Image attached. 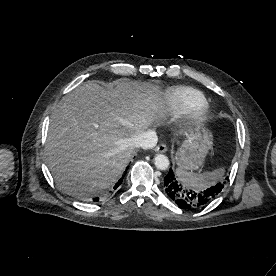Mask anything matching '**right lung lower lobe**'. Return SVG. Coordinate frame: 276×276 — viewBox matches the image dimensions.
I'll return each instance as SVG.
<instances>
[{"instance_id": "98d812e1", "label": "right lung lower lobe", "mask_w": 276, "mask_h": 276, "mask_svg": "<svg viewBox=\"0 0 276 276\" xmlns=\"http://www.w3.org/2000/svg\"><path fill=\"white\" fill-rule=\"evenodd\" d=\"M121 182H122V180L120 179V180L116 183V185L114 186V189H116V188L121 184ZM95 200L98 201V198L95 199Z\"/></svg>"}]
</instances>
